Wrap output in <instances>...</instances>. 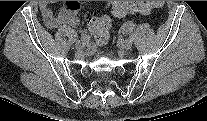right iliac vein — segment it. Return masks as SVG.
Instances as JSON below:
<instances>
[{
  "mask_svg": "<svg viewBox=\"0 0 207 121\" xmlns=\"http://www.w3.org/2000/svg\"><path fill=\"white\" fill-rule=\"evenodd\" d=\"M75 47L77 50H81L84 47V44H82L80 41H77Z\"/></svg>",
  "mask_w": 207,
  "mask_h": 121,
  "instance_id": "obj_1",
  "label": "right iliac vein"
}]
</instances>
